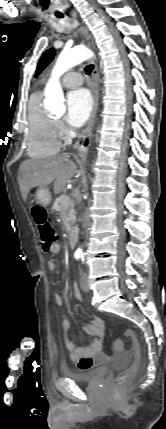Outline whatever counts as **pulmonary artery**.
Listing matches in <instances>:
<instances>
[{"mask_svg":"<svg viewBox=\"0 0 166 429\" xmlns=\"http://www.w3.org/2000/svg\"><path fill=\"white\" fill-rule=\"evenodd\" d=\"M83 77L78 72H68L62 78V83L64 86L69 88H74L82 84Z\"/></svg>","mask_w":166,"mask_h":429,"instance_id":"pulmonary-artery-1","label":"pulmonary artery"}]
</instances>
